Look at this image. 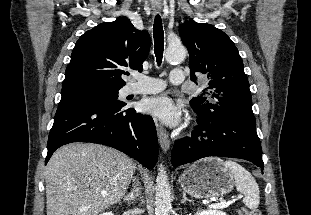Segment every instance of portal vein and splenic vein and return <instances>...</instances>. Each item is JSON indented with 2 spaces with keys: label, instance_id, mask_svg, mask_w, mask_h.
<instances>
[{
  "label": "portal vein and splenic vein",
  "instance_id": "portal-vein-and-splenic-vein-1",
  "mask_svg": "<svg viewBox=\"0 0 311 215\" xmlns=\"http://www.w3.org/2000/svg\"><path fill=\"white\" fill-rule=\"evenodd\" d=\"M235 200H232V201H221L219 203H214V204H211L209 205L210 208H226L227 206H229L230 204H232Z\"/></svg>",
  "mask_w": 311,
  "mask_h": 215
}]
</instances>
